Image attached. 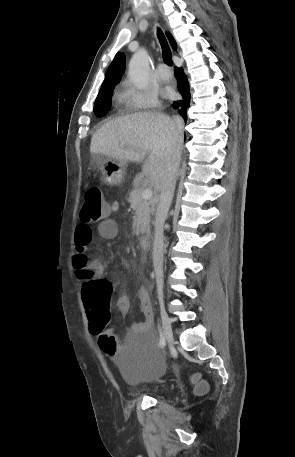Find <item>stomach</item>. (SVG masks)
Wrapping results in <instances>:
<instances>
[{
  "label": "stomach",
  "mask_w": 295,
  "mask_h": 457,
  "mask_svg": "<svg viewBox=\"0 0 295 457\" xmlns=\"http://www.w3.org/2000/svg\"><path fill=\"white\" fill-rule=\"evenodd\" d=\"M96 159L103 160L100 164V170L104 177V182L111 186L120 185L125 177L126 162L120 159H114L97 155Z\"/></svg>",
  "instance_id": "0dacf381"
}]
</instances>
